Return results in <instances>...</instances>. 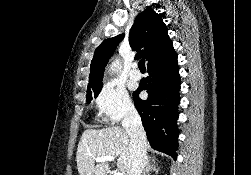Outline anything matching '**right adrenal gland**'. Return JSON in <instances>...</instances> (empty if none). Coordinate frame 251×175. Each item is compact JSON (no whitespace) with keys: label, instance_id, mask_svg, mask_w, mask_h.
I'll use <instances>...</instances> for the list:
<instances>
[{"label":"right adrenal gland","instance_id":"obj_1","mask_svg":"<svg viewBox=\"0 0 251 175\" xmlns=\"http://www.w3.org/2000/svg\"><path fill=\"white\" fill-rule=\"evenodd\" d=\"M160 167H158V163H147L144 167L143 175H150V173H159Z\"/></svg>","mask_w":251,"mask_h":175}]
</instances>
